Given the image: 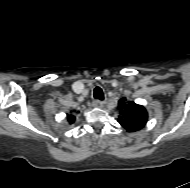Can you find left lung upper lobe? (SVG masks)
Segmentation results:
<instances>
[{
    "instance_id": "5c2ea615",
    "label": "left lung upper lobe",
    "mask_w": 190,
    "mask_h": 188,
    "mask_svg": "<svg viewBox=\"0 0 190 188\" xmlns=\"http://www.w3.org/2000/svg\"><path fill=\"white\" fill-rule=\"evenodd\" d=\"M117 109L120 114L118 122L128 132L138 131L146 125L148 115L146 109L142 105L122 98L118 101Z\"/></svg>"
}]
</instances>
